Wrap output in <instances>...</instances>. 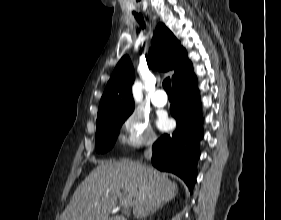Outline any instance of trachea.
<instances>
[{
	"label": "trachea",
	"mask_w": 281,
	"mask_h": 220,
	"mask_svg": "<svg viewBox=\"0 0 281 220\" xmlns=\"http://www.w3.org/2000/svg\"><path fill=\"white\" fill-rule=\"evenodd\" d=\"M133 14L135 15L136 19L138 20V22L144 26V21H143V17L141 14H136L135 12H133ZM163 88L165 89L166 93L168 94V96L172 95V90H171V81L170 78H166L163 81Z\"/></svg>",
	"instance_id": "trachea-1"
}]
</instances>
